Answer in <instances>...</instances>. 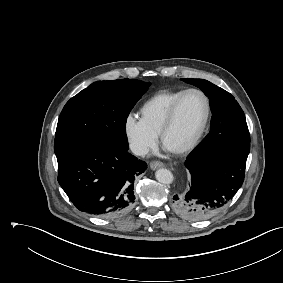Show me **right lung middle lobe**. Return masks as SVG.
<instances>
[{"label": "right lung middle lobe", "instance_id": "dd1d6c3e", "mask_svg": "<svg viewBox=\"0 0 283 283\" xmlns=\"http://www.w3.org/2000/svg\"><path fill=\"white\" fill-rule=\"evenodd\" d=\"M149 85L150 82L136 79L97 81L71 98L59 116L54 142L56 157L97 141L128 149L126 120Z\"/></svg>", "mask_w": 283, "mask_h": 283}]
</instances>
